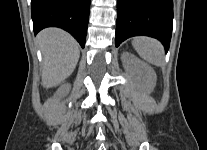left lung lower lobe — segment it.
<instances>
[{"mask_svg": "<svg viewBox=\"0 0 207 150\" xmlns=\"http://www.w3.org/2000/svg\"><path fill=\"white\" fill-rule=\"evenodd\" d=\"M115 45L137 35L154 37L167 51L173 23L172 0H117Z\"/></svg>", "mask_w": 207, "mask_h": 150, "instance_id": "left-lung-lower-lobe-1", "label": "left lung lower lobe"}]
</instances>
